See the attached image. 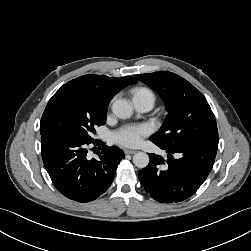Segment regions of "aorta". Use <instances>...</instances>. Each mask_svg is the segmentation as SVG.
<instances>
[{"label":"aorta","instance_id":"obj_1","mask_svg":"<svg viewBox=\"0 0 251 251\" xmlns=\"http://www.w3.org/2000/svg\"><path fill=\"white\" fill-rule=\"evenodd\" d=\"M112 111L118 117L127 119L132 115L133 108L126 99L115 100L112 104ZM133 163L138 168H145L149 164V156L144 152H138L133 156Z\"/></svg>","mask_w":251,"mask_h":251}]
</instances>
